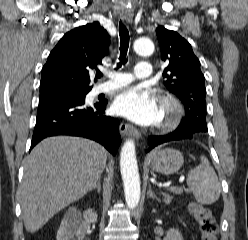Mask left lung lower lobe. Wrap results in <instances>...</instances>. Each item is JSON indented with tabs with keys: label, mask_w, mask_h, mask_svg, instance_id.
Here are the masks:
<instances>
[{
	"label": "left lung lower lobe",
	"mask_w": 248,
	"mask_h": 240,
	"mask_svg": "<svg viewBox=\"0 0 248 240\" xmlns=\"http://www.w3.org/2000/svg\"><path fill=\"white\" fill-rule=\"evenodd\" d=\"M193 137V133L189 131H184V130H175L174 132L164 135V136H150L148 140V145L149 148L146 150L148 152L155 146L169 142V141H176V140H186V139H191Z\"/></svg>",
	"instance_id": "obj_1"
}]
</instances>
